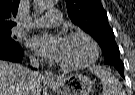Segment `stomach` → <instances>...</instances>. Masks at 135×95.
<instances>
[{
  "label": "stomach",
  "instance_id": "0dacf381",
  "mask_svg": "<svg viewBox=\"0 0 135 95\" xmlns=\"http://www.w3.org/2000/svg\"><path fill=\"white\" fill-rule=\"evenodd\" d=\"M48 85L60 95H89L92 90L91 79L82 74H70Z\"/></svg>",
  "mask_w": 135,
  "mask_h": 95
}]
</instances>
